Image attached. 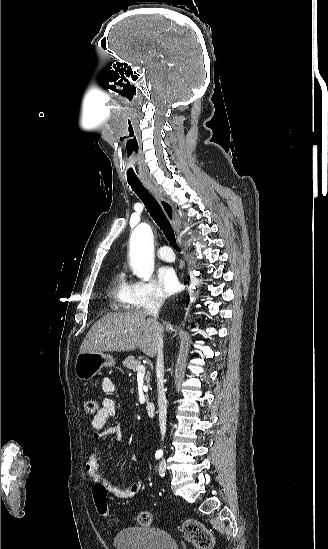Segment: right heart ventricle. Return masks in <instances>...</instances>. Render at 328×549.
<instances>
[{
	"mask_svg": "<svg viewBox=\"0 0 328 549\" xmlns=\"http://www.w3.org/2000/svg\"><path fill=\"white\" fill-rule=\"evenodd\" d=\"M109 303H125L126 310H132V303H142L135 291L134 283L128 280L122 271L117 272L112 279Z\"/></svg>",
	"mask_w": 328,
	"mask_h": 549,
	"instance_id": "right-heart-ventricle-1",
	"label": "right heart ventricle"
}]
</instances>
